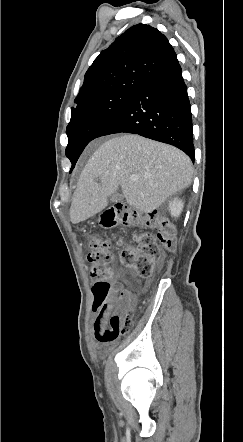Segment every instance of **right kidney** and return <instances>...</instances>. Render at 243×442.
<instances>
[{"label": "right kidney", "instance_id": "ca27d5eb", "mask_svg": "<svg viewBox=\"0 0 243 442\" xmlns=\"http://www.w3.org/2000/svg\"><path fill=\"white\" fill-rule=\"evenodd\" d=\"M183 206L184 204L182 200L174 198V200L169 203V210L171 212V215L174 217H178L182 212Z\"/></svg>", "mask_w": 243, "mask_h": 442}]
</instances>
